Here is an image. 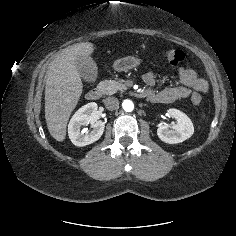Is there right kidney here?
Returning <instances> with one entry per match:
<instances>
[{"label":"right kidney","mask_w":236,"mask_h":236,"mask_svg":"<svg viewBox=\"0 0 236 236\" xmlns=\"http://www.w3.org/2000/svg\"><path fill=\"white\" fill-rule=\"evenodd\" d=\"M98 106L95 102L88 103L78 109L68 125V135L75 146L83 147L94 143L103 134L105 123L96 118ZM91 124V131L84 133L82 126Z\"/></svg>","instance_id":"ca27d5eb"}]
</instances>
